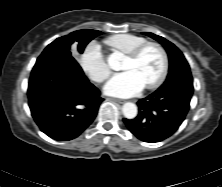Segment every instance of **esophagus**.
I'll list each match as a JSON object with an SVG mask.
<instances>
[{
	"label": "esophagus",
	"instance_id": "esophagus-1",
	"mask_svg": "<svg viewBox=\"0 0 222 187\" xmlns=\"http://www.w3.org/2000/svg\"><path fill=\"white\" fill-rule=\"evenodd\" d=\"M107 100H109V101H113V102H117V103H120V104L124 103L123 100L116 99V98H107Z\"/></svg>",
	"mask_w": 222,
	"mask_h": 187
}]
</instances>
